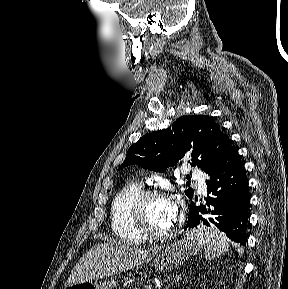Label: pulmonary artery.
<instances>
[{"label":"pulmonary artery","instance_id":"e3ab8cb5","mask_svg":"<svg viewBox=\"0 0 288 289\" xmlns=\"http://www.w3.org/2000/svg\"><path fill=\"white\" fill-rule=\"evenodd\" d=\"M190 176L197 181L200 191L206 190V176L201 171L191 169Z\"/></svg>","mask_w":288,"mask_h":289}]
</instances>
